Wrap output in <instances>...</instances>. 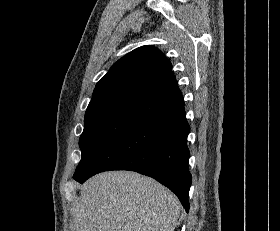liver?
Returning <instances> with one entry per match:
<instances>
[{
    "label": "liver",
    "mask_w": 280,
    "mask_h": 231,
    "mask_svg": "<svg viewBox=\"0 0 280 231\" xmlns=\"http://www.w3.org/2000/svg\"><path fill=\"white\" fill-rule=\"evenodd\" d=\"M73 207L75 231H174L180 203L152 177L104 171L87 179Z\"/></svg>",
    "instance_id": "1"
}]
</instances>
